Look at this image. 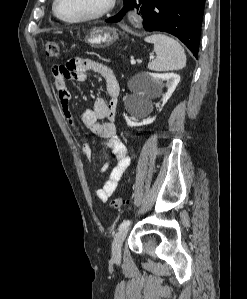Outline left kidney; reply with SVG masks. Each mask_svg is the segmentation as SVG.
<instances>
[{
    "instance_id": "obj_1",
    "label": "left kidney",
    "mask_w": 247,
    "mask_h": 299,
    "mask_svg": "<svg viewBox=\"0 0 247 299\" xmlns=\"http://www.w3.org/2000/svg\"><path fill=\"white\" fill-rule=\"evenodd\" d=\"M163 81H166V87L168 88V90L162 98V106L168 101V99L171 97L172 93L176 89L178 83L180 82V76L176 73L150 74L149 76H147V79L145 80L146 93H151L152 91L159 89L163 85ZM140 112H143V106L139 104L131 111V113L135 115H138ZM154 120L155 117H151L143 119L142 122H133L126 117V123L130 127L148 125L151 124Z\"/></svg>"
}]
</instances>
